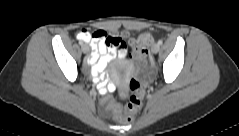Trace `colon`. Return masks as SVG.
<instances>
[{
    "label": "colon",
    "mask_w": 239,
    "mask_h": 136,
    "mask_svg": "<svg viewBox=\"0 0 239 136\" xmlns=\"http://www.w3.org/2000/svg\"><path fill=\"white\" fill-rule=\"evenodd\" d=\"M88 31H82L86 35ZM106 33V32H105ZM103 33L98 32V36H102ZM105 42L109 46L122 47L124 45L123 40L115 35H109L106 33ZM152 42V37L147 34H141L139 37L130 41L132 45V57L140 67H146L150 63L148 47ZM128 90L130 91L129 101L126 105H115L113 108L114 119L118 122H129L132 116L140 110L143 104V90L142 84L137 79H131L128 84Z\"/></svg>",
    "instance_id": "1"
}]
</instances>
